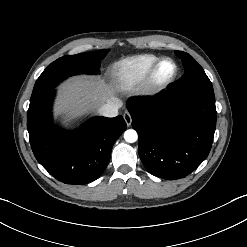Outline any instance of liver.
I'll return each instance as SVG.
<instances>
[{
  "label": "liver",
  "instance_id": "1",
  "mask_svg": "<svg viewBox=\"0 0 247 247\" xmlns=\"http://www.w3.org/2000/svg\"><path fill=\"white\" fill-rule=\"evenodd\" d=\"M56 114L77 116L90 109L100 108L114 100V90L103 79L76 77L58 87Z\"/></svg>",
  "mask_w": 247,
  "mask_h": 247
}]
</instances>
